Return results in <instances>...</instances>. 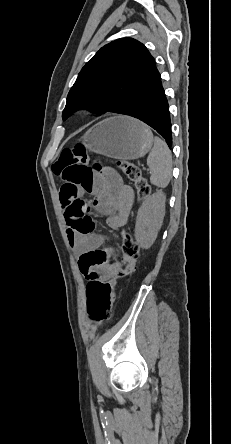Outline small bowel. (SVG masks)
<instances>
[{"instance_id": "1", "label": "small bowel", "mask_w": 231, "mask_h": 444, "mask_svg": "<svg viewBox=\"0 0 231 444\" xmlns=\"http://www.w3.org/2000/svg\"><path fill=\"white\" fill-rule=\"evenodd\" d=\"M86 192L93 196V208L96 213L107 217V224L119 230L128 220L134 205L133 189L126 185L113 168H105L88 188L62 186L60 202L67 224V235L71 246L79 254V268L89 281L110 278L123 266V260H117L112 251L99 248L102 239L95 235L79 234L74 228L75 217L70 207L80 200Z\"/></svg>"}]
</instances>
